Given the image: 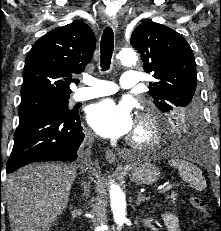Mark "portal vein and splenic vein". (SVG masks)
Returning <instances> with one entry per match:
<instances>
[{
	"mask_svg": "<svg viewBox=\"0 0 221 231\" xmlns=\"http://www.w3.org/2000/svg\"><path fill=\"white\" fill-rule=\"evenodd\" d=\"M173 188L172 184L167 185L165 188L159 191V193H165Z\"/></svg>",
	"mask_w": 221,
	"mask_h": 231,
	"instance_id": "portal-vein-and-splenic-vein-1",
	"label": "portal vein and splenic vein"
}]
</instances>
